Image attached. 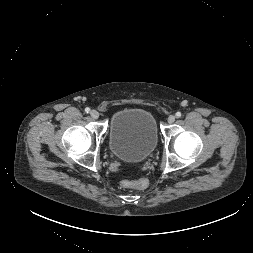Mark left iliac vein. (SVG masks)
<instances>
[{"label":"left iliac vein","mask_w":253,"mask_h":253,"mask_svg":"<svg viewBox=\"0 0 253 253\" xmlns=\"http://www.w3.org/2000/svg\"><path fill=\"white\" fill-rule=\"evenodd\" d=\"M174 121H175V116H174V115H170V116L168 117V123H169V124H172V123H174Z\"/></svg>","instance_id":"obj_1"}]
</instances>
